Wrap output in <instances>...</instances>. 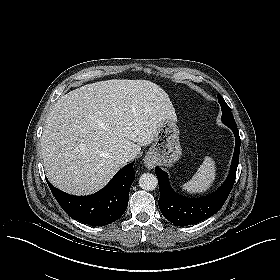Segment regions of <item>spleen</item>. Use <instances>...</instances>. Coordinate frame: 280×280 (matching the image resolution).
I'll use <instances>...</instances> for the list:
<instances>
[{
	"label": "spleen",
	"instance_id": "obj_1",
	"mask_svg": "<svg viewBox=\"0 0 280 280\" xmlns=\"http://www.w3.org/2000/svg\"><path fill=\"white\" fill-rule=\"evenodd\" d=\"M215 178V161L210 156H206L193 177L182 185V189L190 194L204 193L213 185Z\"/></svg>",
	"mask_w": 280,
	"mask_h": 280
}]
</instances>
